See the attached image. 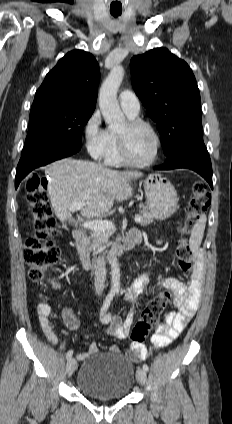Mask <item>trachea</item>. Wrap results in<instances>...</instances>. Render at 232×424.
Segmentation results:
<instances>
[{
    "label": "trachea",
    "mask_w": 232,
    "mask_h": 424,
    "mask_svg": "<svg viewBox=\"0 0 232 424\" xmlns=\"http://www.w3.org/2000/svg\"><path fill=\"white\" fill-rule=\"evenodd\" d=\"M111 15H113L114 17H118L121 15V12H111Z\"/></svg>",
    "instance_id": "trachea-1"
}]
</instances>
